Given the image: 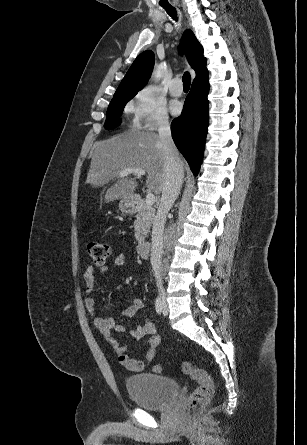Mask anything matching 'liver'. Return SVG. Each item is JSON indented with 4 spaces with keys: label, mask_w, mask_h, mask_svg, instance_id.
Wrapping results in <instances>:
<instances>
[{
    "label": "liver",
    "mask_w": 307,
    "mask_h": 445,
    "mask_svg": "<svg viewBox=\"0 0 307 445\" xmlns=\"http://www.w3.org/2000/svg\"><path fill=\"white\" fill-rule=\"evenodd\" d=\"M165 150L156 132L132 130L124 134H114L107 140L95 142L88 170L86 184L100 188L114 176H119L123 168H143L148 176L146 186L155 194H160L164 182ZM136 172L121 176L104 194L105 202L117 198H129L134 194L138 182Z\"/></svg>",
    "instance_id": "liver-1"
}]
</instances>
